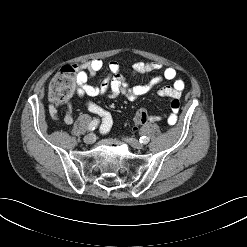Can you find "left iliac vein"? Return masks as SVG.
<instances>
[{"mask_svg": "<svg viewBox=\"0 0 247 247\" xmlns=\"http://www.w3.org/2000/svg\"><path fill=\"white\" fill-rule=\"evenodd\" d=\"M124 140L125 142H127L129 145H131L136 149H141L143 147V145L136 139L126 137L124 138Z\"/></svg>", "mask_w": 247, "mask_h": 247, "instance_id": "1", "label": "left iliac vein"}]
</instances>
